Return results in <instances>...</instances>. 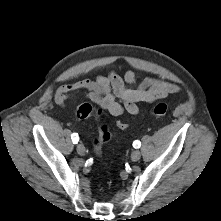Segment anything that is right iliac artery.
Listing matches in <instances>:
<instances>
[{
	"label": "right iliac artery",
	"instance_id": "right-iliac-artery-1",
	"mask_svg": "<svg viewBox=\"0 0 221 221\" xmlns=\"http://www.w3.org/2000/svg\"><path fill=\"white\" fill-rule=\"evenodd\" d=\"M71 138H72V141H73L74 144H77V142L79 141V137H78L77 133H73L71 135Z\"/></svg>",
	"mask_w": 221,
	"mask_h": 221
}]
</instances>
